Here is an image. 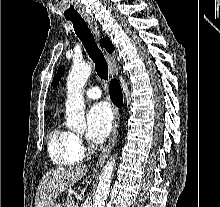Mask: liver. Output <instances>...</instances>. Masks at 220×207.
<instances>
[{
	"label": "liver",
	"mask_w": 220,
	"mask_h": 207,
	"mask_svg": "<svg viewBox=\"0 0 220 207\" xmlns=\"http://www.w3.org/2000/svg\"><path fill=\"white\" fill-rule=\"evenodd\" d=\"M87 171L85 165L59 167L48 171L38 186L35 207H52L59 194L73 186Z\"/></svg>",
	"instance_id": "1"
}]
</instances>
